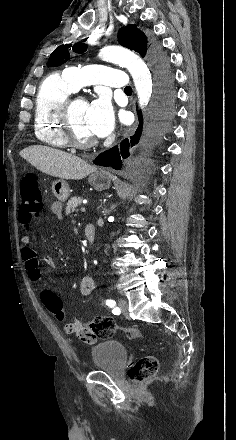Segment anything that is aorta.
<instances>
[{
	"label": "aorta",
	"mask_w": 236,
	"mask_h": 440,
	"mask_svg": "<svg viewBox=\"0 0 236 440\" xmlns=\"http://www.w3.org/2000/svg\"><path fill=\"white\" fill-rule=\"evenodd\" d=\"M99 57L107 62L126 67L131 74L136 88L139 105L144 108L152 94V79L145 62L134 52L120 46H106L101 49Z\"/></svg>",
	"instance_id": "aorta-1"
}]
</instances>
